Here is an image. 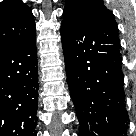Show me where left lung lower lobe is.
<instances>
[{"label":"left lung lower lobe","mask_w":136,"mask_h":136,"mask_svg":"<svg viewBox=\"0 0 136 136\" xmlns=\"http://www.w3.org/2000/svg\"><path fill=\"white\" fill-rule=\"evenodd\" d=\"M61 38L80 136H125L117 28L105 23L62 22Z\"/></svg>","instance_id":"left-lung-lower-lobe-1"}]
</instances>
